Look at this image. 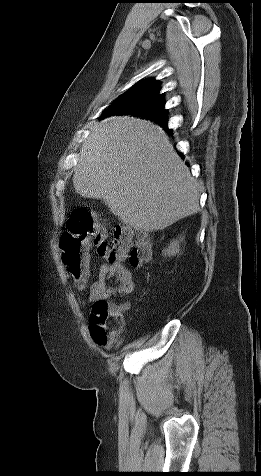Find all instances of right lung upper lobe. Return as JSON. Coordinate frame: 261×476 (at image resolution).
Listing matches in <instances>:
<instances>
[{
  "instance_id": "1",
  "label": "right lung upper lobe",
  "mask_w": 261,
  "mask_h": 476,
  "mask_svg": "<svg viewBox=\"0 0 261 476\" xmlns=\"http://www.w3.org/2000/svg\"><path fill=\"white\" fill-rule=\"evenodd\" d=\"M118 100L121 102L157 101L163 103V96L159 94L158 81L148 79L134 86Z\"/></svg>"
}]
</instances>
